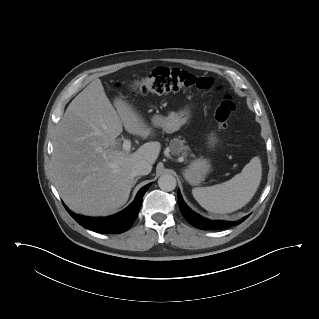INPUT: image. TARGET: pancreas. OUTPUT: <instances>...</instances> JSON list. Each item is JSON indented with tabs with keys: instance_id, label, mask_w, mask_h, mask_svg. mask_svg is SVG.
I'll use <instances>...</instances> for the list:
<instances>
[{
	"instance_id": "pancreas-1",
	"label": "pancreas",
	"mask_w": 319,
	"mask_h": 319,
	"mask_svg": "<svg viewBox=\"0 0 319 319\" xmlns=\"http://www.w3.org/2000/svg\"><path fill=\"white\" fill-rule=\"evenodd\" d=\"M185 141L179 138H173L169 143V149L172 155L181 156L182 159H186L188 156L193 157L190 147L184 144Z\"/></svg>"
}]
</instances>
